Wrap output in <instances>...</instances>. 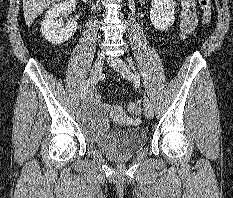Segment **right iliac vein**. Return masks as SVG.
I'll use <instances>...</instances> for the list:
<instances>
[{
    "mask_svg": "<svg viewBox=\"0 0 233 198\" xmlns=\"http://www.w3.org/2000/svg\"><path fill=\"white\" fill-rule=\"evenodd\" d=\"M104 60H105V56L103 54H100L96 61L94 62V65L92 67L91 70V86L89 91L87 92L86 96L84 97L83 101H82V106L86 107L90 104L91 100H92V90L95 86V84L98 81L99 76L102 73L103 70V66H104Z\"/></svg>",
    "mask_w": 233,
    "mask_h": 198,
    "instance_id": "right-iliac-vein-1",
    "label": "right iliac vein"
}]
</instances>
